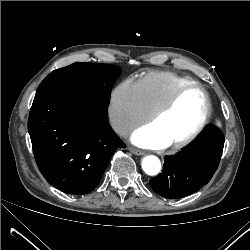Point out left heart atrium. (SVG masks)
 Returning a JSON list of instances; mask_svg holds the SVG:
<instances>
[{"label": "left heart atrium", "mask_w": 250, "mask_h": 250, "mask_svg": "<svg viewBox=\"0 0 250 250\" xmlns=\"http://www.w3.org/2000/svg\"><path fill=\"white\" fill-rule=\"evenodd\" d=\"M131 140L141 147L150 149H160L170 144L152 124L137 129Z\"/></svg>", "instance_id": "1"}]
</instances>
